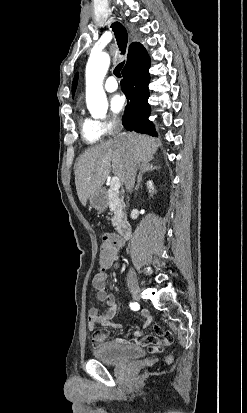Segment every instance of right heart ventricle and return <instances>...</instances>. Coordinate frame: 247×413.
Wrapping results in <instances>:
<instances>
[{
    "label": "right heart ventricle",
    "instance_id": "e07e8e85",
    "mask_svg": "<svg viewBox=\"0 0 247 413\" xmlns=\"http://www.w3.org/2000/svg\"><path fill=\"white\" fill-rule=\"evenodd\" d=\"M81 134L83 139L91 145H95L100 140L102 133H97L95 127L89 123L82 125Z\"/></svg>",
    "mask_w": 247,
    "mask_h": 413
}]
</instances>
